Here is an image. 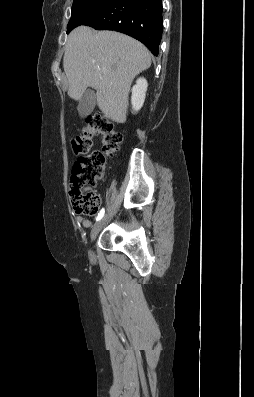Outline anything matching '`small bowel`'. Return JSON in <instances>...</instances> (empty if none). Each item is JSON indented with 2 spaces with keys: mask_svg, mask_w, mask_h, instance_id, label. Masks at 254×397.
Masks as SVG:
<instances>
[{
  "mask_svg": "<svg viewBox=\"0 0 254 397\" xmlns=\"http://www.w3.org/2000/svg\"><path fill=\"white\" fill-rule=\"evenodd\" d=\"M76 220L78 221V222H80L83 226H85V227H89V226H91V221H89L88 219H85V218H83V217H81V216H77L76 217Z\"/></svg>",
  "mask_w": 254,
  "mask_h": 397,
  "instance_id": "obj_1",
  "label": "small bowel"
}]
</instances>
